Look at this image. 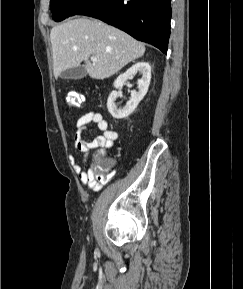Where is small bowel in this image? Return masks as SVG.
<instances>
[{"instance_id":"1","label":"small bowel","mask_w":243,"mask_h":289,"mask_svg":"<svg viewBox=\"0 0 243 289\" xmlns=\"http://www.w3.org/2000/svg\"><path fill=\"white\" fill-rule=\"evenodd\" d=\"M95 123L100 134L96 135L91 141L83 139V131L87 125ZM76 133L74 136L75 150L84 154L82 164L76 163L72 158L74 170L79 176L80 182L90 188L93 192L100 191L103 186L110 180L111 174L104 175L99 173L93 167L84 168L89 152L92 149H98L97 155H105L106 150L110 149L113 142L117 139L118 134L115 130L109 128L107 120L100 112L89 111L79 117L75 123Z\"/></svg>"}]
</instances>
